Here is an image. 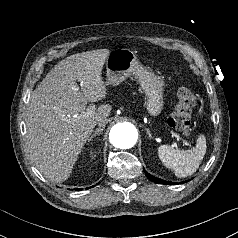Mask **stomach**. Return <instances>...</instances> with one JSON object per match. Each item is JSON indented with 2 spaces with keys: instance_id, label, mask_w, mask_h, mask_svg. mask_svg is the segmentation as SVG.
<instances>
[{
  "instance_id": "1",
  "label": "stomach",
  "mask_w": 238,
  "mask_h": 238,
  "mask_svg": "<svg viewBox=\"0 0 238 238\" xmlns=\"http://www.w3.org/2000/svg\"><path fill=\"white\" fill-rule=\"evenodd\" d=\"M106 84L119 85L132 74L147 97L145 107L151 116H158L164 106L163 80L143 67L136 54L126 48L112 50L106 59Z\"/></svg>"
}]
</instances>
